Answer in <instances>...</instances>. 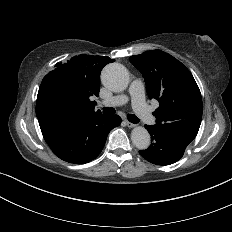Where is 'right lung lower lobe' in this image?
<instances>
[{
    "label": "right lung lower lobe",
    "mask_w": 232,
    "mask_h": 232,
    "mask_svg": "<svg viewBox=\"0 0 232 232\" xmlns=\"http://www.w3.org/2000/svg\"><path fill=\"white\" fill-rule=\"evenodd\" d=\"M120 123L118 115L103 114L39 120L43 137L53 153L74 164H84L96 158L108 133Z\"/></svg>",
    "instance_id": "right-lung-lower-lobe-1"
}]
</instances>
